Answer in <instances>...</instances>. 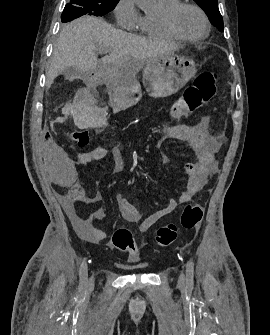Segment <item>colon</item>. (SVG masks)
Wrapping results in <instances>:
<instances>
[{
	"mask_svg": "<svg viewBox=\"0 0 270 335\" xmlns=\"http://www.w3.org/2000/svg\"><path fill=\"white\" fill-rule=\"evenodd\" d=\"M218 74L214 71H203L196 76L191 86L176 102L172 114L175 118L199 109L213 98L216 92ZM223 139V134L219 135ZM70 139L78 147H86L91 143V137L86 130H76L71 133ZM203 217V206L200 203H188L179 220L167 223L158 228L156 243L160 248L172 246L182 230H192L200 225ZM112 247L118 251L127 252L132 259L140 255V249L135 245L132 233L126 228H119L112 236Z\"/></svg>",
	"mask_w": 270,
	"mask_h": 335,
	"instance_id": "obj_1",
	"label": "colon"
}]
</instances>
